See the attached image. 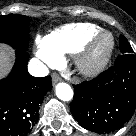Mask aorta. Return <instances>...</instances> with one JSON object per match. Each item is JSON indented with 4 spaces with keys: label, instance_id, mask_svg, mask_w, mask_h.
I'll use <instances>...</instances> for the list:
<instances>
[{
    "label": "aorta",
    "instance_id": "obj_1",
    "mask_svg": "<svg viewBox=\"0 0 136 136\" xmlns=\"http://www.w3.org/2000/svg\"><path fill=\"white\" fill-rule=\"evenodd\" d=\"M55 91L57 97L62 101H70L73 98V90L67 83H58Z\"/></svg>",
    "mask_w": 136,
    "mask_h": 136
}]
</instances>
